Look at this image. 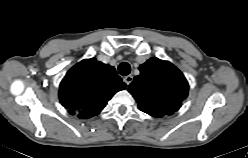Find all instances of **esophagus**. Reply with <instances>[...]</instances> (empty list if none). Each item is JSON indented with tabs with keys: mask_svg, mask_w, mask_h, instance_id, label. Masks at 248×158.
Segmentation results:
<instances>
[{
	"mask_svg": "<svg viewBox=\"0 0 248 158\" xmlns=\"http://www.w3.org/2000/svg\"><path fill=\"white\" fill-rule=\"evenodd\" d=\"M124 82L129 85L133 81V76L132 75H127L123 78Z\"/></svg>",
	"mask_w": 248,
	"mask_h": 158,
	"instance_id": "esophagus-1",
	"label": "esophagus"
}]
</instances>
